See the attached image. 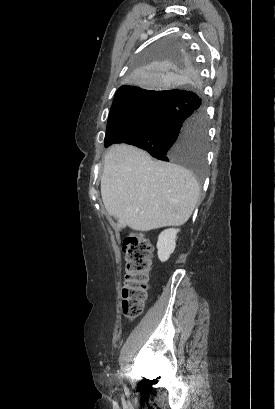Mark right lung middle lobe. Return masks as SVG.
Listing matches in <instances>:
<instances>
[{"label":"right lung middle lobe","instance_id":"obj_1","mask_svg":"<svg viewBox=\"0 0 275 409\" xmlns=\"http://www.w3.org/2000/svg\"><path fill=\"white\" fill-rule=\"evenodd\" d=\"M132 60L125 85L133 94L111 107L104 146L126 143L146 150L156 159L194 172L204 182L208 162L202 81L187 64L185 46L176 39L154 42Z\"/></svg>","mask_w":275,"mask_h":409}]
</instances>
